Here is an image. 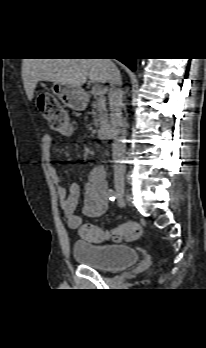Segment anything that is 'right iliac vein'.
<instances>
[{"label": "right iliac vein", "mask_w": 206, "mask_h": 348, "mask_svg": "<svg viewBox=\"0 0 206 348\" xmlns=\"http://www.w3.org/2000/svg\"><path fill=\"white\" fill-rule=\"evenodd\" d=\"M114 186L116 191L120 194V195H124L125 194V181L124 178L122 176H116L114 179Z\"/></svg>", "instance_id": "63e3f726"}]
</instances>
